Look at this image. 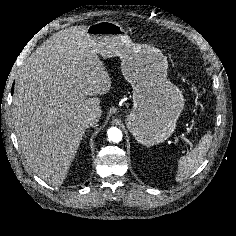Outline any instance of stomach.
<instances>
[{
    "instance_id": "obj_1",
    "label": "stomach",
    "mask_w": 236,
    "mask_h": 236,
    "mask_svg": "<svg viewBox=\"0 0 236 236\" xmlns=\"http://www.w3.org/2000/svg\"><path fill=\"white\" fill-rule=\"evenodd\" d=\"M97 54L119 56L124 78L133 88V110L126 125L137 142L152 146L168 139L184 108V97L167 79V60L148 44L134 43L124 28L113 21H99L86 30Z\"/></svg>"
}]
</instances>
